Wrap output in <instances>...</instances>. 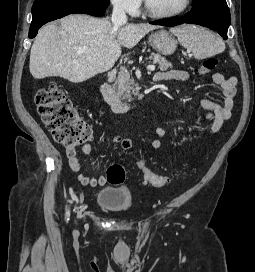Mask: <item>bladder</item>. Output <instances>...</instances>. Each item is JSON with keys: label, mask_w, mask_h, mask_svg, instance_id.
I'll use <instances>...</instances> for the list:
<instances>
[{"label": "bladder", "mask_w": 255, "mask_h": 272, "mask_svg": "<svg viewBox=\"0 0 255 272\" xmlns=\"http://www.w3.org/2000/svg\"><path fill=\"white\" fill-rule=\"evenodd\" d=\"M96 203L109 211L123 212L132 206L133 193L128 186H107L98 192Z\"/></svg>", "instance_id": "bladder-1"}]
</instances>
